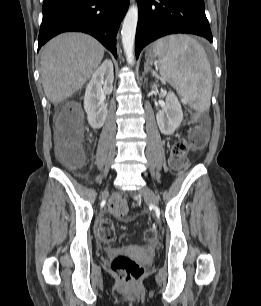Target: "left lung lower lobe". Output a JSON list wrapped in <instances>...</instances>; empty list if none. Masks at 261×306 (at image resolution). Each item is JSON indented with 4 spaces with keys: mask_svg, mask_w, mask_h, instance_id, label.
Segmentation results:
<instances>
[{
    "mask_svg": "<svg viewBox=\"0 0 261 306\" xmlns=\"http://www.w3.org/2000/svg\"><path fill=\"white\" fill-rule=\"evenodd\" d=\"M137 0L139 20L135 37L136 58L152 41L169 34L190 33L212 42L203 0Z\"/></svg>",
    "mask_w": 261,
    "mask_h": 306,
    "instance_id": "1",
    "label": "left lung lower lobe"
}]
</instances>
